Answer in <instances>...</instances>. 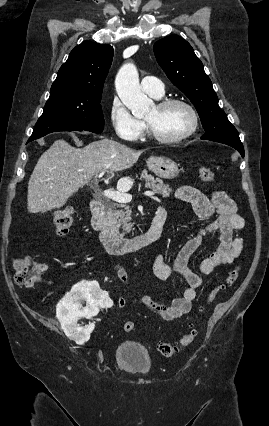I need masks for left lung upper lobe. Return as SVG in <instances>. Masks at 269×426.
Returning a JSON list of instances; mask_svg holds the SVG:
<instances>
[{
  "label": "left lung upper lobe",
  "mask_w": 269,
  "mask_h": 426,
  "mask_svg": "<svg viewBox=\"0 0 269 426\" xmlns=\"http://www.w3.org/2000/svg\"><path fill=\"white\" fill-rule=\"evenodd\" d=\"M155 57L170 81L194 104L208 140L240 139L236 128L218 105L217 95L193 48L177 35L153 46Z\"/></svg>",
  "instance_id": "1"
}]
</instances>
